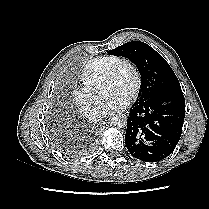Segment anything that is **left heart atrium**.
Segmentation results:
<instances>
[{
	"mask_svg": "<svg viewBox=\"0 0 209 209\" xmlns=\"http://www.w3.org/2000/svg\"><path fill=\"white\" fill-rule=\"evenodd\" d=\"M128 97L122 94H114L105 104V111H113L124 108L128 104Z\"/></svg>",
	"mask_w": 209,
	"mask_h": 209,
	"instance_id": "39dd6f15",
	"label": "left heart atrium"
}]
</instances>
